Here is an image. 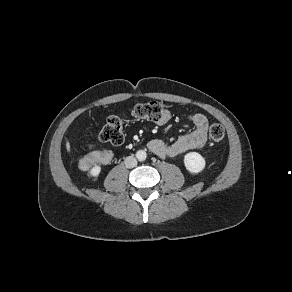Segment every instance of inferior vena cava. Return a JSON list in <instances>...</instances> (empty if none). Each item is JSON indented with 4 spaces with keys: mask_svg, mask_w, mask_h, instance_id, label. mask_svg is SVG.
I'll return each mask as SVG.
<instances>
[{
    "mask_svg": "<svg viewBox=\"0 0 292 292\" xmlns=\"http://www.w3.org/2000/svg\"><path fill=\"white\" fill-rule=\"evenodd\" d=\"M124 163H125L126 168H133L137 165V160L133 156H128L126 157Z\"/></svg>",
    "mask_w": 292,
    "mask_h": 292,
    "instance_id": "1",
    "label": "inferior vena cava"
}]
</instances>
